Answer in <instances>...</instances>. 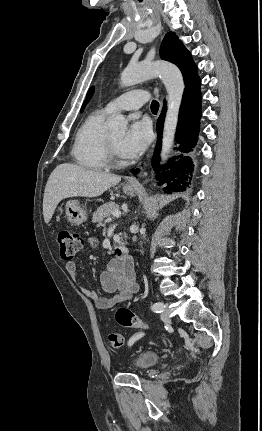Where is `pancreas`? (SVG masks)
I'll return each mask as SVG.
<instances>
[{
  "mask_svg": "<svg viewBox=\"0 0 262 431\" xmlns=\"http://www.w3.org/2000/svg\"><path fill=\"white\" fill-rule=\"evenodd\" d=\"M119 206L115 204L114 202H109L107 204H104L100 206L94 213H93V222H101L105 218H109L111 214L114 211H118Z\"/></svg>",
  "mask_w": 262,
  "mask_h": 431,
  "instance_id": "1",
  "label": "pancreas"
}]
</instances>
